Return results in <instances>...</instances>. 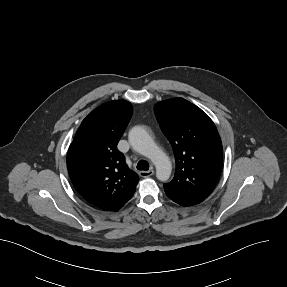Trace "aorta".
Listing matches in <instances>:
<instances>
[{
	"label": "aorta",
	"instance_id": "762f6f07",
	"mask_svg": "<svg viewBox=\"0 0 287 287\" xmlns=\"http://www.w3.org/2000/svg\"><path fill=\"white\" fill-rule=\"evenodd\" d=\"M129 142L134 150L153 162L158 180L165 182L169 179L172 171L171 161L143 127L135 126L130 130Z\"/></svg>",
	"mask_w": 287,
	"mask_h": 287
}]
</instances>
